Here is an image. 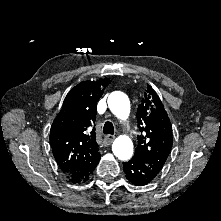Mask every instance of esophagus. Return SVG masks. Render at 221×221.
Here are the masks:
<instances>
[{
	"instance_id": "34e87169",
	"label": "esophagus",
	"mask_w": 221,
	"mask_h": 221,
	"mask_svg": "<svg viewBox=\"0 0 221 221\" xmlns=\"http://www.w3.org/2000/svg\"><path fill=\"white\" fill-rule=\"evenodd\" d=\"M115 139L114 135H106L105 136V141L108 143H111Z\"/></svg>"
}]
</instances>
